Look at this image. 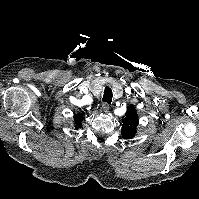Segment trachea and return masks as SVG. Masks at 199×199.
<instances>
[{
	"mask_svg": "<svg viewBox=\"0 0 199 199\" xmlns=\"http://www.w3.org/2000/svg\"><path fill=\"white\" fill-rule=\"evenodd\" d=\"M112 90L109 86H106L105 87V90H104V96H103V102H106L108 104H111V101H112Z\"/></svg>",
	"mask_w": 199,
	"mask_h": 199,
	"instance_id": "1",
	"label": "trachea"
}]
</instances>
